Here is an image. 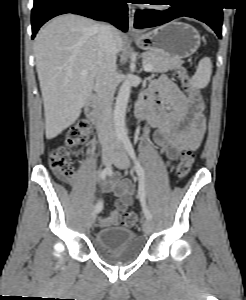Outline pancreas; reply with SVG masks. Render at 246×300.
<instances>
[{
	"label": "pancreas",
	"mask_w": 246,
	"mask_h": 300,
	"mask_svg": "<svg viewBox=\"0 0 246 300\" xmlns=\"http://www.w3.org/2000/svg\"><path fill=\"white\" fill-rule=\"evenodd\" d=\"M143 64H149L153 67L152 72L164 73L181 65V62H172L163 58L158 53L145 52L142 54Z\"/></svg>",
	"instance_id": "obj_1"
}]
</instances>
